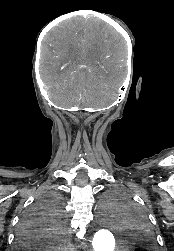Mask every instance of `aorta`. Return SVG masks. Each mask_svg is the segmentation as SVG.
Wrapping results in <instances>:
<instances>
[{
    "label": "aorta",
    "instance_id": "762f6f07",
    "mask_svg": "<svg viewBox=\"0 0 174 251\" xmlns=\"http://www.w3.org/2000/svg\"><path fill=\"white\" fill-rule=\"evenodd\" d=\"M117 226L118 222L112 216L104 215L99 219L98 231L92 242L94 251H114L115 241L111 231Z\"/></svg>",
    "mask_w": 174,
    "mask_h": 251
}]
</instances>
